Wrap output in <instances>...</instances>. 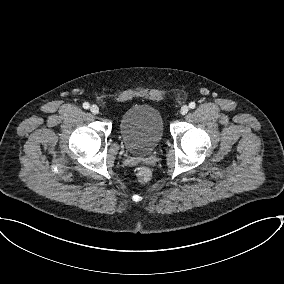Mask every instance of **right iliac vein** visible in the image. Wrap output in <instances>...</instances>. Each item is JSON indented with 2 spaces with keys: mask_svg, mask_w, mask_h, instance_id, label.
<instances>
[{
  "mask_svg": "<svg viewBox=\"0 0 284 284\" xmlns=\"http://www.w3.org/2000/svg\"><path fill=\"white\" fill-rule=\"evenodd\" d=\"M90 111L93 113V114H98L99 113V107L97 105H91L90 106Z\"/></svg>",
  "mask_w": 284,
  "mask_h": 284,
  "instance_id": "1",
  "label": "right iliac vein"
}]
</instances>
